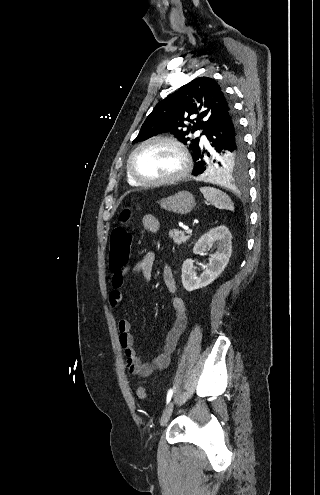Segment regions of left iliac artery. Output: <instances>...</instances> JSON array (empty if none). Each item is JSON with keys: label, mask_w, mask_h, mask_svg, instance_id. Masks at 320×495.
I'll return each mask as SVG.
<instances>
[{"label": "left iliac artery", "mask_w": 320, "mask_h": 495, "mask_svg": "<svg viewBox=\"0 0 320 495\" xmlns=\"http://www.w3.org/2000/svg\"><path fill=\"white\" fill-rule=\"evenodd\" d=\"M172 395H173V389H170V390L168 391V394H167V399H166V400H167V403H169V402H170V400H171V398H172Z\"/></svg>", "instance_id": "obj_1"}]
</instances>
